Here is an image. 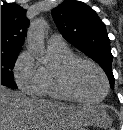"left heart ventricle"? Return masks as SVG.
Wrapping results in <instances>:
<instances>
[{
	"mask_svg": "<svg viewBox=\"0 0 123 130\" xmlns=\"http://www.w3.org/2000/svg\"><path fill=\"white\" fill-rule=\"evenodd\" d=\"M71 80L76 92L86 99H99L104 93L105 84L101 75L89 65H78L72 73Z\"/></svg>",
	"mask_w": 123,
	"mask_h": 130,
	"instance_id": "left-heart-ventricle-1",
	"label": "left heart ventricle"
}]
</instances>
